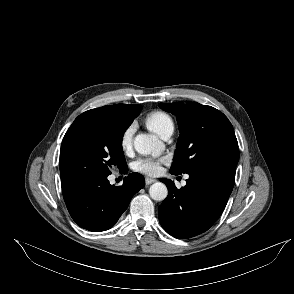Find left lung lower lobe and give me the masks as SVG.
Here are the masks:
<instances>
[{
	"mask_svg": "<svg viewBox=\"0 0 294 294\" xmlns=\"http://www.w3.org/2000/svg\"><path fill=\"white\" fill-rule=\"evenodd\" d=\"M239 150L223 153L189 174L186 186L177 189L174 182L161 179L168 197L158 207L159 221L167 233L186 239L207 231L220 217L235 180Z\"/></svg>",
	"mask_w": 294,
	"mask_h": 294,
	"instance_id": "obj_1",
	"label": "left lung lower lobe"
}]
</instances>
